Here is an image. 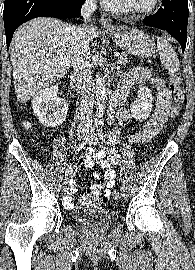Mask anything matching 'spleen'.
<instances>
[{
  "instance_id": "spleen-1",
  "label": "spleen",
  "mask_w": 195,
  "mask_h": 270,
  "mask_svg": "<svg viewBox=\"0 0 195 270\" xmlns=\"http://www.w3.org/2000/svg\"><path fill=\"white\" fill-rule=\"evenodd\" d=\"M157 48L159 50L162 65L171 73L180 69L179 59L173 47L162 37H157Z\"/></svg>"
}]
</instances>
